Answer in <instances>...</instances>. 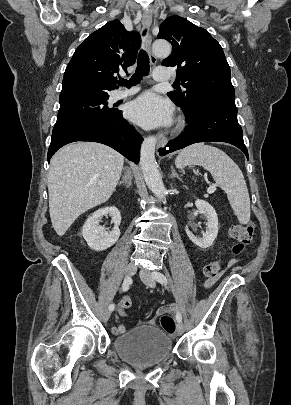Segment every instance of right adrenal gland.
<instances>
[{"label":"right adrenal gland","instance_id":"2a0ac1e0","mask_svg":"<svg viewBox=\"0 0 291 405\" xmlns=\"http://www.w3.org/2000/svg\"><path fill=\"white\" fill-rule=\"evenodd\" d=\"M132 177L130 174V171L126 169L125 175L123 176L122 180L118 183L119 185L124 184L127 188H129L132 185Z\"/></svg>","mask_w":291,"mask_h":405}]
</instances>
